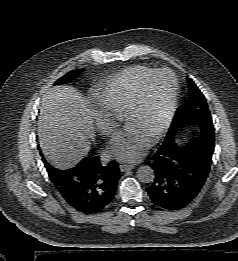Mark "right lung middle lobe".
I'll list each match as a JSON object with an SVG mask.
<instances>
[{
  "instance_id": "dd1d6c3e",
  "label": "right lung middle lobe",
  "mask_w": 238,
  "mask_h": 261,
  "mask_svg": "<svg viewBox=\"0 0 238 261\" xmlns=\"http://www.w3.org/2000/svg\"><path fill=\"white\" fill-rule=\"evenodd\" d=\"M79 72H80V70L71 71V72L67 73L66 75H64L63 77H61L56 83L57 84H62V83H66L68 81H71L73 78H75V76Z\"/></svg>"
}]
</instances>
